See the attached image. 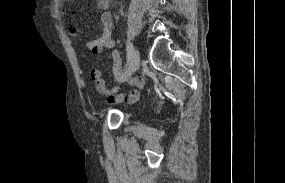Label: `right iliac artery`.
<instances>
[{
  "label": "right iliac artery",
  "instance_id": "right-iliac-artery-1",
  "mask_svg": "<svg viewBox=\"0 0 285 183\" xmlns=\"http://www.w3.org/2000/svg\"><path fill=\"white\" fill-rule=\"evenodd\" d=\"M133 55H134L133 45L131 43H128L127 44V63L131 62Z\"/></svg>",
  "mask_w": 285,
  "mask_h": 183
}]
</instances>
